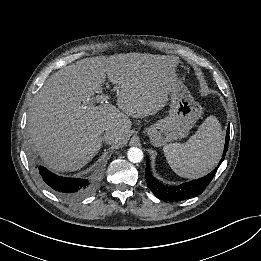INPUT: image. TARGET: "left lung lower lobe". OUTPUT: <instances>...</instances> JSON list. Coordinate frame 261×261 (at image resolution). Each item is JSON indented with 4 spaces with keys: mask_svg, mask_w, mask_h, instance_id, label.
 Instances as JSON below:
<instances>
[{
    "mask_svg": "<svg viewBox=\"0 0 261 261\" xmlns=\"http://www.w3.org/2000/svg\"><path fill=\"white\" fill-rule=\"evenodd\" d=\"M228 143H229V128L226 131L224 151L218 166L208 175L198 180H192L190 182L183 183L178 186H166L160 183L157 179H155L151 174L150 167H149V160L147 159L145 178L149 188L158 198L170 202L186 200L190 197L201 194L208 186V184L211 182L215 173L217 172L218 167L224 160V156L228 149Z\"/></svg>",
    "mask_w": 261,
    "mask_h": 261,
    "instance_id": "obj_1",
    "label": "left lung lower lobe"
}]
</instances>
